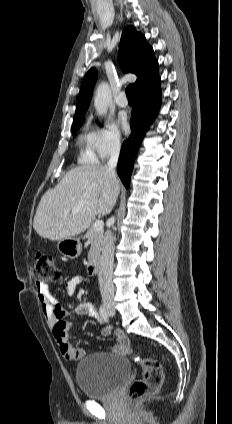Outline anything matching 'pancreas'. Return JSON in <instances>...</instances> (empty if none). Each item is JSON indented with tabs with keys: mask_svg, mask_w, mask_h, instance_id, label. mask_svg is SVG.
<instances>
[{
	"mask_svg": "<svg viewBox=\"0 0 232 424\" xmlns=\"http://www.w3.org/2000/svg\"><path fill=\"white\" fill-rule=\"evenodd\" d=\"M85 238L88 239V242L91 245L90 251L88 253V261L89 263H92L99 256L101 244L103 241V230H96L92 226L85 234Z\"/></svg>",
	"mask_w": 232,
	"mask_h": 424,
	"instance_id": "1",
	"label": "pancreas"
}]
</instances>
